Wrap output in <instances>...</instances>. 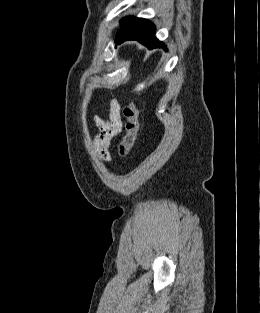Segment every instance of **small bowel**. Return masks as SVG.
Here are the masks:
<instances>
[{"instance_id":"1","label":"small bowel","mask_w":260,"mask_h":313,"mask_svg":"<svg viewBox=\"0 0 260 313\" xmlns=\"http://www.w3.org/2000/svg\"><path fill=\"white\" fill-rule=\"evenodd\" d=\"M121 107L118 101L112 100L109 107V117L103 120L95 117L98 132L94 139V147L98 156L106 161L111 159L109 151L111 140L122 131Z\"/></svg>"}]
</instances>
